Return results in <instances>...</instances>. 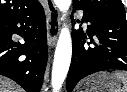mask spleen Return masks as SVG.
<instances>
[{
  "mask_svg": "<svg viewBox=\"0 0 127 92\" xmlns=\"http://www.w3.org/2000/svg\"><path fill=\"white\" fill-rule=\"evenodd\" d=\"M113 76L123 84V87L115 90V92H127V72L116 71Z\"/></svg>",
  "mask_w": 127,
  "mask_h": 92,
  "instance_id": "3e777b00",
  "label": "spleen"
}]
</instances>
